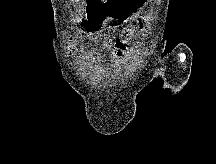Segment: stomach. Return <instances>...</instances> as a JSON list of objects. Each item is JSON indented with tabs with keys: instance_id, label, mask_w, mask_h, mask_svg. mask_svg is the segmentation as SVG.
<instances>
[{
	"instance_id": "stomach-1",
	"label": "stomach",
	"mask_w": 216,
	"mask_h": 164,
	"mask_svg": "<svg viewBox=\"0 0 216 164\" xmlns=\"http://www.w3.org/2000/svg\"><path fill=\"white\" fill-rule=\"evenodd\" d=\"M148 0H108L107 7L90 9V14L105 16V20H129L134 11L144 7Z\"/></svg>"
}]
</instances>
